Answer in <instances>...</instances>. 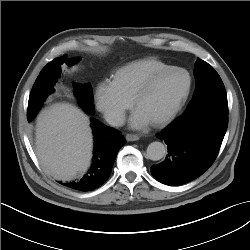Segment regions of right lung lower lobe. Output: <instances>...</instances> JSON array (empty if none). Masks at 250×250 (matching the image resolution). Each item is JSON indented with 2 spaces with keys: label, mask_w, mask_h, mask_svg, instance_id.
I'll list each match as a JSON object with an SVG mask.
<instances>
[{
  "label": "right lung lower lobe",
  "mask_w": 250,
  "mask_h": 250,
  "mask_svg": "<svg viewBox=\"0 0 250 250\" xmlns=\"http://www.w3.org/2000/svg\"><path fill=\"white\" fill-rule=\"evenodd\" d=\"M95 147L90 170L80 180L63 183L78 191H92L100 187L110 176L119 149L126 143L119 131L91 118Z\"/></svg>",
  "instance_id": "1"
}]
</instances>
